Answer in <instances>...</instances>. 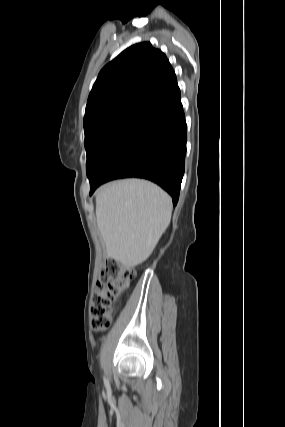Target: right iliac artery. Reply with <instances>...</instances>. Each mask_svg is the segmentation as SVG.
I'll use <instances>...</instances> for the list:
<instances>
[{
    "label": "right iliac artery",
    "instance_id": "82829eb1",
    "mask_svg": "<svg viewBox=\"0 0 285 427\" xmlns=\"http://www.w3.org/2000/svg\"><path fill=\"white\" fill-rule=\"evenodd\" d=\"M105 383L108 385V382L105 380Z\"/></svg>",
    "mask_w": 285,
    "mask_h": 427
}]
</instances>
